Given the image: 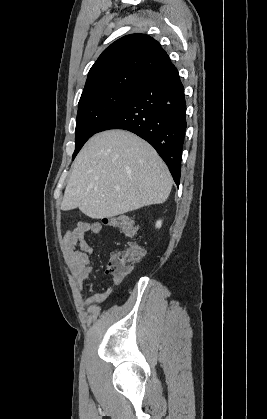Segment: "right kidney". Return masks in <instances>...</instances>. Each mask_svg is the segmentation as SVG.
Listing matches in <instances>:
<instances>
[{
  "mask_svg": "<svg viewBox=\"0 0 267 419\" xmlns=\"http://www.w3.org/2000/svg\"><path fill=\"white\" fill-rule=\"evenodd\" d=\"M161 225H162V221H161V220H158V221L156 222V227H157V228H160V227H161Z\"/></svg>",
  "mask_w": 267,
  "mask_h": 419,
  "instance_id": "ca27d5eb",
  "label": "right kidney"
}]
</instances>
